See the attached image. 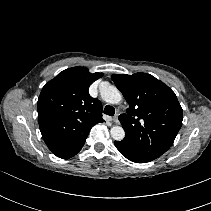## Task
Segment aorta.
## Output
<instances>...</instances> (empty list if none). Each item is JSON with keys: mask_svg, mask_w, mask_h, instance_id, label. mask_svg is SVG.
I'll list each match as a JSON object with an SVG mask.
<instances>
[{"mask_svg": "<svg viewBox=\"0 0 211 211\" xmlns=\"http://www.w3.org/2000/svg\"><path fill=\"white\" fill-rule=\"evenodd\" d=\"M102 99L110 104H118L122 100L120 91L113 85L105 84L100 87ZM111 137L116 141H121L125 137V131L120 126H113L110 130Z\"/></svg>", "mask_w": 211, "mask_h": 211, "instance_id": "1", "label": "aorta"}]
</instances>
